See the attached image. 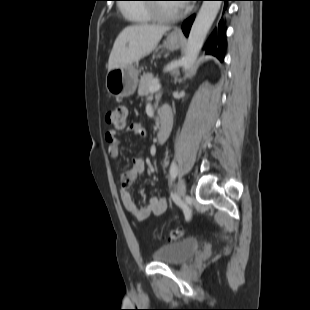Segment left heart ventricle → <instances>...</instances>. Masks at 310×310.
I'll use <instances>...</instances> for the list:
<instances>
[{"mask_svg": "<svg viewBox=\"0 0 310 310\" xmlns=\"http://www.w3.org/2000/svg\"><path fill=\"white\" fill-rule=\"evenodd\" d=\"M162 6L166 12H173L179 10V8L174 4H163Z\"/></svg>", "mask_w": 310, "mask_h": 310, "instance_id": "obj_1", "label": "left heart ventricle"}]
</instances>
